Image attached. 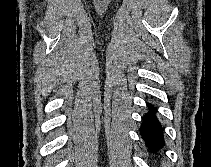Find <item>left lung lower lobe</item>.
I'll use <instances>...</instances> for the list:
<instances>
[{
    "instance_id": "obj_1",
    "label": "left lung lower lobe",
    "mask_w": 211,
    "mask_h": 167,
    "mask_svg": "<svg viewBox=\"0 0 211 167\" xmlns=\"http://www.w3.org/2000/svg\"><path fill=\"white\" fill-rule=\"evenodd\" d=\"M139 131L149 152L158 154L165 142L162 125L157 117V109L151 103L148 104V111L143 116Z\"/></svg>"
}]
</instances>
